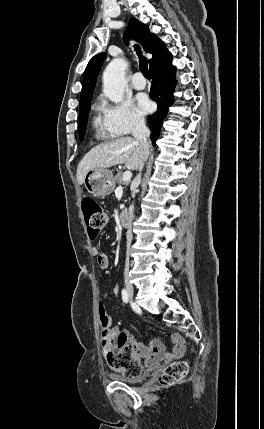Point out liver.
Segmentation results:
<instances>
[{
	"label": "liver",
	"instance_id": "liver-1",
	"mask_svg": "<svg viewBox=\"0 0 264 429\" xmlns=\"http://www.w3.org/2000/svg\"><path fill=\"white\" fill-rule=\"evenodd\" d=\"M142 152L137 140L122 137L92 148L77 167V180L84 183L86 173L92 169H107L117 164H125L128 169L139 168Z\"/></svg>",
	"mask_w": 264,
	"mask_h": 429
}]
</instances>
